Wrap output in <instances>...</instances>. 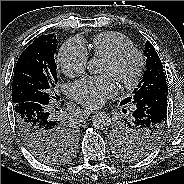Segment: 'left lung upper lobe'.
Listing matches in <instances>:
<instances>
[{"label":"left lung upper lobe","mask_w":184,"mask_h":184,"mask_svg":"<svg viewBox=\"0 0 184 184\" xmlns=\"http://www.w3.org/2000/svg\"><path fill=\"white\" fill-rule=\"evenodd\" d=\"M144 54L147 57V65L143 79L132 92V96L124 99L120 103L121 105L127 103L135 105L143 97L155 92L168 94L163 65L149 41L145 44ZM151 132L153 130L149 126L135 127L132 124V117H130L118 121L111 129L110 137L120 158L130 161L143 158L154 149L156 144H153L149 151L136 152L134 148L138 142L151 141ZM153 133L157 134V132Z\"/></svg>","instance_id":"5c2ea615"}]
</instances>
